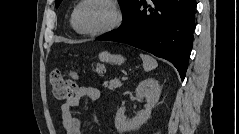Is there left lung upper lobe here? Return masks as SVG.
I'll return each mask as SVG.
<instances>
[{"instance_id":"left-lung-upper-lobe-1","label":"left lung upper lobe","mask_w":239,"mask_h":134,"mask_svg":"<svg viewBox=\"0 0 239 134\" xmlns=\"http://www.w3.org/2000/svg\"><path fill=\"white\" fill-rule=\"evenodd\" d=\"M62 0H56V7L59 6ZM135 2V0H119L121 9L123 10V15L125 16L128 11L130 10L132 4Z\"/></svg>"}]
</instances>
